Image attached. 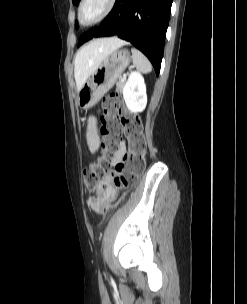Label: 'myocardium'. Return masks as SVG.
Masks as SVG:
<instances>
[{"label": "myocardium", "instance_id": "f54148a6", "mask_svg": "<svg viewBox=\"0 0 247 304\" xmlns=\"http://www.w3.org/2000/svg\"><path fill=\"white\" fill-rule=\"evenodd\" d=\"M88 2L89 0H80L77 8V21L78 24L83 28L94 26L103 21L112 12L116 5V0H105V6L102 11L93 19L86 21L83 18V9Z\"/></svg>", "mask_w": 247, "mask_h": 304}]
</instances>
